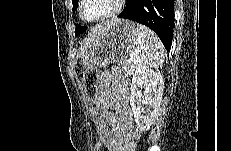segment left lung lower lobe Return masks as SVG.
<instances>
[{
    "instance_id": "obj_1",
    "label": "left lung lower lobe",
    "mask_w": 231,
    "mask_h": 151,
    "mask_svg": "<svg viewBox=\"0 0 231 151\" xmlns=\"http://www.w3.org/2000/svg\"><path fill=\"white\" fill-rule=\"evenodd\" d=\"M118 17L149 27L159 36L167 52L170 50L174 28V0H136L132 6L125 7Z\"/></svg>"
}]
</instances>
